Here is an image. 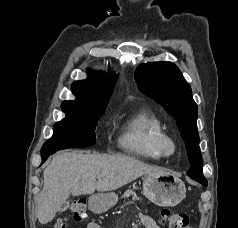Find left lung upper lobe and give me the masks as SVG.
Here are the masks:
<instances>
[{
    "mask_svg": "<svg viewBox=\"0 0 238 228\" xmlns=\"http://www.w3.org/2000/svg\"><path fill=\"white\" fill-rule=\"evenodd\" d=\"M135 80L140 91L160 103L176 119L191 164L187 174L204 176L196 124L198 108L178 67L167 61L143 64L137 68Z\"/></svg>",
    "mask_w": 238,
    "mask_h": 228,
    "instance_id": "left-lung-upper-lobe-1",
    "label": "left lung upper lobe"
}]
</instances>
